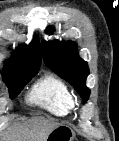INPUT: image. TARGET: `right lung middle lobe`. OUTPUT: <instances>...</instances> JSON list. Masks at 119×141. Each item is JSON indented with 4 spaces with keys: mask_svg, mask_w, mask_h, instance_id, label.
<instances>
[{
    "mask_svg": "<svg viewBox=\"0 0 119 141\" xmlns=\"http://www.w3.org/2000/svg\"><path fill=\"white\" fill-rule=\"evenodd\" d=\"M38 71L30 72L27 74L21 75H3L4 81L9 88L10 97L15 98L23 87L31 80L33 76H35Z\"/></svg>",
    "mask_w": 119,
    "mask_h": 141,
    "instance_id": "obj_1",
    "label": "right lung middle lobe"
}]
</instances>
